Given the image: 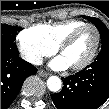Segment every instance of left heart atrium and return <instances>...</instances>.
<instances>
[{
    "mask_svg": "<svg viewBox=\"0 0 109 109\" xmlns=\"http://www.w3.org/2000/svg\"><path fill=\"white\" fill-rule=\"evenodd\" d=\"M50 66L54 70H64L69 66V64L66 62V60L62 56H60L55 58L51 62Z\"/></svg>",
    "mask_w": 109,
    "mask_h": 109,
    "instance_id": "left-heart-atrium-1",
    "label": "left heart atrium"
}]
</instances>
